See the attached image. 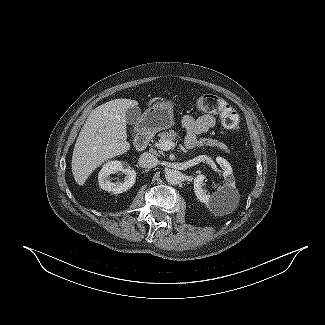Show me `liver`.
<instances>
[{
	"label": "liver",
	"instance_id": "1",
	"mask_svg": "<svg viewBox=\"0 0 325 325\" xmlns=\"http://www.w3.org/2000/svg\"><path fill=\"white\" fill-rule=\"evenodd\" d=\"M138 102L115 99L96 107L90 113L76 140L72 155V173L77 184L83 185L102 163L126 153V112Z\"/></svg>",
	"mask_w": 325,
	"mask_h": 325
}]
</instances>
